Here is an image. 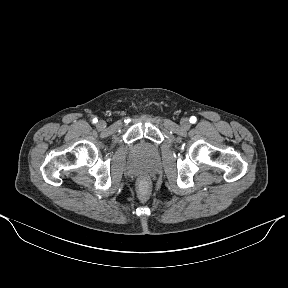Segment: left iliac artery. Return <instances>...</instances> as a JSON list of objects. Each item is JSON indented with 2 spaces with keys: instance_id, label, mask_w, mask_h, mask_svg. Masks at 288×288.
<instances>
[{
  "instance_id": "1",
  "label": "left iliac artery",
  "mask_w": 288,
  "mask_h": 288,
  "mask_svg": "<svg viewBox=\"0 0 288 288\" xmlns=\"http://www.w3.org/2000/svg\"><path fill=\"white\" fill-rule=\"evenodd\" d=\"M196 121H197V119H196L195 116H192V117L190 118V123H196Z\"/></svg>"
}]
</instances>
